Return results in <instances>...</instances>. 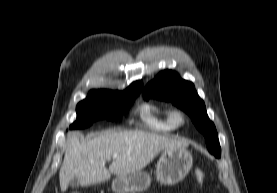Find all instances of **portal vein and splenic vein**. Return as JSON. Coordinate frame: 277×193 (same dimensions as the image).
<instances>
[{
  "label": "portal vein and splenic vein",
  "instance_id": "1",
  "mask_svg": "<svg viewBox=\"0 0 277 193\" xmlns=\"http://www.w3.org/2000/svg\"><path fill=\"white\" fill-rule=\"evenodd\" d=\"M116 158V155H113V159Z\"/></svg>",
  "mask_w": 277,
  "mask_h": 193
}]
</instances>
